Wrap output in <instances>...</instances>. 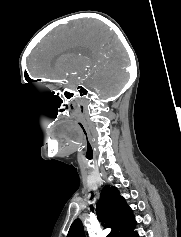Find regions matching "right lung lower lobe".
I'll list each match as a JSON object with an SVG mask.
<instances>
[{"mask_svg": "<svg viewBox=\"0 0 181 237\" xmlns=\"http://www.w3.org/2000/svg\"><path fill=\"white\" fill-rule=\"evenodd\" d=\"M133 237H139V236H138V234H137V233H135V234L133 235Z\"/></svg>", "mask_w": 181, "mask_h": 237, "instance_id": "98d812e1", "label": "right lung lower lobe"}]
</instances>
